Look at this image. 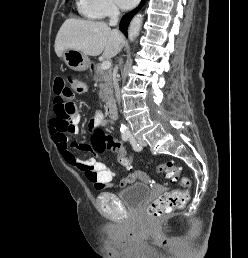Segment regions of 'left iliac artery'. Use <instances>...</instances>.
<instances>
[{
	"mask_svg": "<svg viewBox=\"0 0 248 258\" xmlns=\"http://www.w3.org/2000/svg\"><path fill=\"white\" fill-rule=\"evenodd\" d=\"M129 141L135 151H140L142 149V147L136 142L134 136L131 135Z\"/></svg>",
	"mask_w": 248,
	"mask_h": 258,
	"instance_id": "44dca946",
	"label": "left iliac artery"
}]
</instances>
